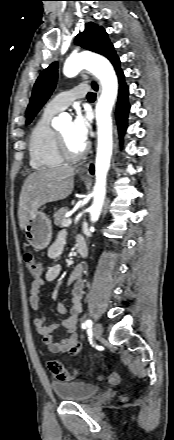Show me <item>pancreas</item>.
<instances>
[{
    "label": "pancreas",
    "instance_id": "1",
    "mask_svg": "<svg viewBox=\"0 0 174 440\" xmlns=\"http://www.w3.org/2000/svg\"><path fill=\"white\" fill-rule=\"evenodd\" d=\"M69 211L68 207H62L54 213V224L56 226L62 227L63 221L67 219L65 217L66 213Z\"/></svg>",
    "mask_w": 174,
    "mask_h": 440
}]
</instances>
